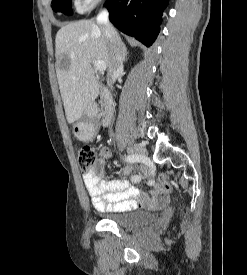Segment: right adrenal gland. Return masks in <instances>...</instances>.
Wrapping results in <instances>:
<instances>
[{
    "label": "right adrenal gland",
    "mask_w": 247,
    "mask_h": 275,
    "mask_svg": "<svg viewBox=\"0 0 247 275\" xmlns=\"http://www.w3.org/2000/svg\"><path fill=\"white\" fill-rule=\"evenodd\" d=\"M127 56H128V52H127L125 44H123V61L124 62L126 61Z\"/></svg>",
    "instance_id": "2a0ac1e0"
}]
</instances>
